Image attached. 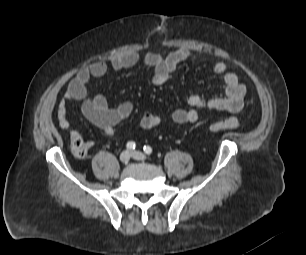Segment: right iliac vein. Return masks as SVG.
Instances as JSON below:
<instances>
[{
  "label": "right iliac vein",
  "instance_id": "obj_1",
  "mask_svg": "<svg viewBox=\"0 0 306 255\" xmlns=\"http://www.w3.org/2000/svg\"><path fill=\"white\" fill-rule=\"evenodd\" d=\"M130 157H131V155H130V152H129V151H123V152L120 154L119 159H120V161H121L122 163L126 164V163L129 162Z\"/></svg>",
  "mask_w": 306,
  "mask_h": 255
}]
</instances>
